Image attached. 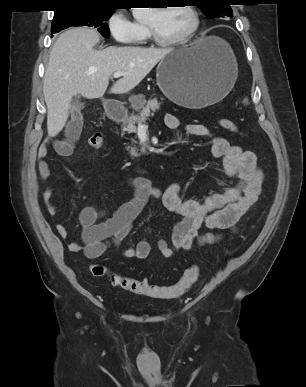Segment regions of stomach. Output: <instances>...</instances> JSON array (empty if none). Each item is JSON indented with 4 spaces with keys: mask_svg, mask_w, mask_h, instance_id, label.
Segmentation results:
<instances>
[{
    "mask_svg": "<svg viewBox=\"0 0 306 387\" xmlns=\"http://www.w3.org/2000/svg\"><path fill=\"white\" fill-rule=\"evenodd\" d=\"M157 85L174 103L203 108L223 99L234 87L237 63L230 46L209 36L173 50L158 64Z\"/></svg>",
    "mask_w": 306,
    "mask_h": 387,
    "instance_id": "obj_1",
    "label": "stomach"
}]
</instances>
